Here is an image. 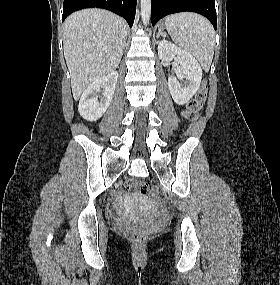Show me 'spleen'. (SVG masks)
<instances>
[{"label":"spleen","mask_w":280,"mask_h":285,"mask_svg":"<svg viewBox=\"0 0 280 285\" xmlns=\"http://www.w3.org/2000/svg\"><path fill=\"white\" fill-rule=\"evenodd\" d=\"M165 25L174 42L190 52L208 71L215 47V32L210 22L194 13H178L168 16Z\"/></svg>","instance_id":"1"}]
</instances>
